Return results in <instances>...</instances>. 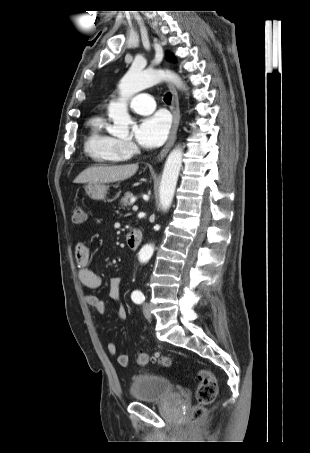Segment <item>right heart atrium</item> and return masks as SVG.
<instances>
[{
    "label": "right heart atrium",
    "mask_w": 310,
    "mask_h": 453,
    "mask_svg": "<svg viewBox=\"0 0 310 453\" xmlns=\"http://www.w3.org/2000/svg\"><path fill=\"white\" fill-rule=\"evenodd\" d=\"M121 146L128 156L133 155L137 150L136 145L131 141H121Z\"/></svg>",
    "instance_id": "right-heart-atrium-1"
}]
</instances>
